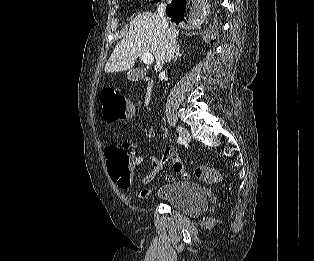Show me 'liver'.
Masks as SVG:
<instances>
[{"label":"liver","instance_id":"obj_1","mask_svg":"<svg viewBox=\"0 0 314 261\" xmlns=\"http://www.w3.org/2000/svg\"><path fill=\"white\" fill-rule=\"evenodd\" d=\"M173 34L175 38L178 36L176 30H173ZM144 52L154 55V69L159 72L164 64L165 31L161 17L148 11L139 13L132 19L128 33L114 48L105 72L130 70Z\"/></svg>","mask_w":314,"mask_h":261}]
</instances>
